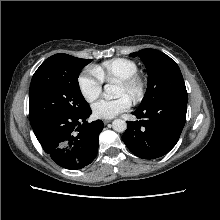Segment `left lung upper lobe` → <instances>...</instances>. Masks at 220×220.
<instances>
[{
    "label": "left lung upper lobe",
    "mask_w": 220,
    "mask_h": 220,
    "mask_svg": "<svg viewBox=\"0 0 220 220\" xmlns=\"http://www.w3.org/2000/svg\"><path fill=\"white\" fill-rule=\"evenodd\" d=\"M130 55L140 56L148 72L147 90L138 109L166 96L187 93L181 71L168 55L155 49H143Z\"/></svg>",
    "instance_id": "5c2ea615"
}]
</instances>
